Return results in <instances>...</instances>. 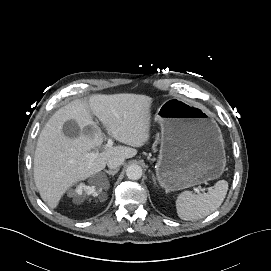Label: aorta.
Returning <instances> with one entry per match:
<instances>
[{
	"mask_svg": "<svg viewBox=\"0 0 271 271\" xmlns=\"http://www.w3.org/2000/svg\"><path fill=\"white\" fill-rule=\"evenodd\" d=\"M126 175L130 180H138L142 177V168L139 165L132 164L127 167Z\"/></svg>",
	"mask_w": 271,
	"mask_h": 271,
	"instance_id": "obj_1",
	"label": "aorta"
}]
</instances>
